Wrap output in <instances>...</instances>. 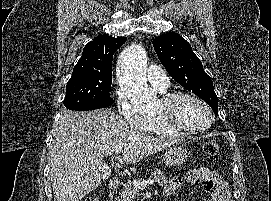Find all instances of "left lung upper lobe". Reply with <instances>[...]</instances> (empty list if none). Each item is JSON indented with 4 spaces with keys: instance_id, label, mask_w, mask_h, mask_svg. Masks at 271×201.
Here are the masks:
<instances>
[{
    "instance_id": "5c2ea615",
    "label": "left lung upper lobe",
    "mask_w": 271,
    "mask_h": 201,
    "mask_svg": "<svg viewBox=\"0 0 271 201\" xmlns=\"http://www.w3.org/2000/svg\"><path fill=\"white\" fill-rule=\"evenodd\" d=\"M157 56L170 76L185 89L210 105L218 114V98L213 83L192 51L191 45L178 33L169 32L153 40Z\"/></svg>"
}]
</instances>
